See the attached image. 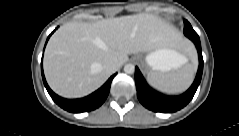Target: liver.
Listing matches in <instances>:
<instances>
[{"label": "liver", "instance_id": "obj_1", "mask_svg": "<svg viewBox=\"0 0 239 136\" xmlns=\"http://www.w3.org/2000/svg\"><path fill=\"white\" fill-rule=\"evenodd\" d=\"M185 45L172 25L147 13L93 24L68 22L47 44L44 72L55 93L79 98L98 89L113 73L105 69L106 61L116 60L120 67L130 54Z\"/></svg>", "mask_w": 239, "mask_h": 136}]
</instances>
